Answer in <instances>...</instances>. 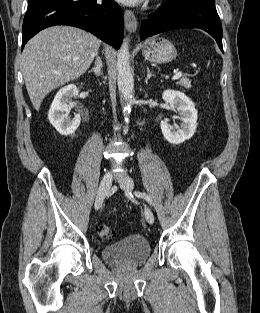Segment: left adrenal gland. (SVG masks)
I'll use <instances>...</instances> for the list:
<instances>
[{"label":"left adrenal gland","mask_w":260,"mask_h":313,"mask_svg":"<svg viewBox=\"0 0 260 313\" xmlns=\"http://www.w3.org/2000/svg\"><path fill=\"white\" fill-rule=\"evenodd\" d=\"M151 77H155L154 74L151 73L149 67H147V77L145 79V82L148 83V80L151 78Z\"/></svg>","instance_id":"left-adrenal-gland-1"}]
</instances>
